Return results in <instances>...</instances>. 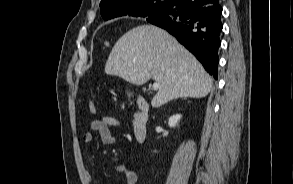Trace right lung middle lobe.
<instances>
[{
	"instance_id": "1",
	"label": "right lung middle lobe",
	"mask_w": 293,
	"mask_h": 184,
	"mask_svg": "<svg viewBox=\"0 0 293 184\" xmlns=\"http://www.w3.org/2000/svg\"><path fill=\"white\" fill-rule=\"evenodd\" d=\"M140 17H148L147 18V21L148 20H153V19H159L163 16V12L161 11H157L155 9H148V10H145L144 12H141L139 14ZM138 17V16H136Z\"/></svg>"
}]
</instances>
